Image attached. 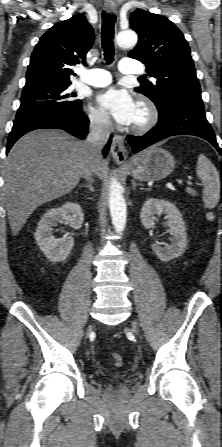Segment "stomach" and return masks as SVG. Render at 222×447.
I'll return each mask as SVG.
<instances>
[{"instance_id":"0dacf381","label":"stomach","mask_w":222,"mask_h":447,"mask_svg":"<svg viewBox=\"0 0 222 447\" xmlns=\"http://www.w3.org/2000/svg\"><path fill=\"white\" fill-rule=\"evenodd\" d=\"M175 163L167 150L153 146L133 156L125 165V170L140 181L160 180L171 174Z\"/></svg>"}]
</instances>
